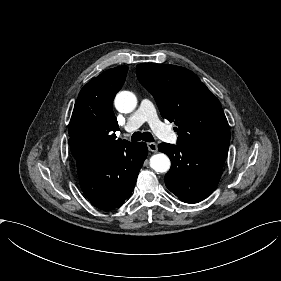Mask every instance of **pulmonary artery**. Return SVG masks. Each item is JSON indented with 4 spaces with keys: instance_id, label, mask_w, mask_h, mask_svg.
Here are the masks:
<instances>
[{
    "instance_id": "e3ab8cb5",
    "label": "pulmonary artery",
    "mask_w": 281,
    "mask_h": 281,
    "mask_svg": "<svg viewBox=\"0 0 281 281\" xmlns=\"http://www.w3.org/2000/svg\"><path fill=\"white\" fill-rule=\"evenodd\" d=\"M151 106L152 103L149 99H143L139 108L131 116H129L124 130L132 131L146 121L152 128L164 126V124L158 119L157 115L150 111Z\"/></svg>"
}]
</instances>
